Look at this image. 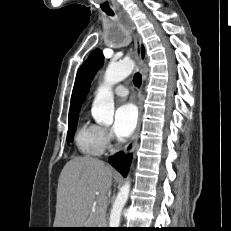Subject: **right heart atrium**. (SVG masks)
<instances>
[{
    "label": "right heart atrium",
    "instance_id": "d8ad5b80",
    "mask_svg": "<svg viewBox=\"0 0 231 231\" xmlns=\"http://www.w3.org/2000/svg\"><path fill=\"white\" fill-rule=\"evenodd\" d=\"M101 137H102V141L104 143L105 148H111L112 143H113L112 133L108 129L102 128L101 129Z\"/></svg>",
    "mask_w": 231,
    "mask_h": 231
}]
</instances>
